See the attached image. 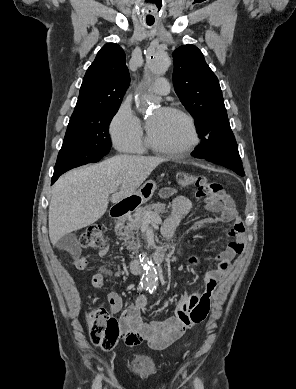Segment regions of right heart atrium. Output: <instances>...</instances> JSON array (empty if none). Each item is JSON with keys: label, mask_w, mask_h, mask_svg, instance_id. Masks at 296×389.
<instances>
[{"label": "right heart atrium", "mask_w": 296, "mask_h": 389, "mask_svg": "<svg viewBox=\"0 0 296 389\" xmlns=\"http://www.w3.org/2000/svg\"><path fill=\"white\" fill-rule=\"evenodd\" d=\"M112 142L117 150L136 153L143 149V128L140 119L125 104L114 114L110 126Z\"/></svg>", "instance_id": "1"}]
</instances>
